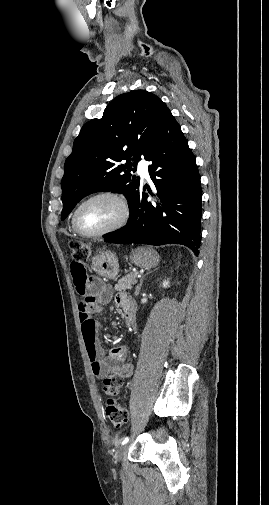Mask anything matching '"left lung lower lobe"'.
<instances>
[{
    "label": "left lung lower lobe",
    "mask_w": 269,
    "mask_h": 505,
    "mask_svg": "<svg viewBox=\"0 0 269 505\" xmlns=\"http://www.w3.org/2000/svg\"><path fill=\"white\" fill-rule=\"evenodd\" d=\"M145 160L154 184L147 201L146 187L139 195L124 227L105 237L119 244H182L199 252L202 191L196 158L171 112L152 135Z\"/></svg>",
    "instance_id": "0a47b994"
}]
</instances>
